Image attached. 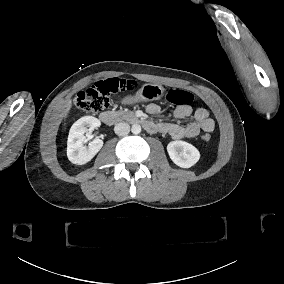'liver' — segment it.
I'll list each match as a JSON object with an SVG mask.
<instances>
[{
  "label": "liver",
  "mask_w": 284,
  "mask_h": 284,
  "mask_svg": "<svg viewBox=\"0 0 284 284\" xmlns=\"http://www.w3.org/2000/svg\"><path fill=\"white\" fill-rule=\"evenodd\" d=\"M72 106H73V100L72 99H69L68 102H67V108H66V112L64 114V117H63V127H64V130H66L67 128V118L71 112V109H72Z\"/></svg>",
  "instance_id": "obj_1"
}]
</instances>
